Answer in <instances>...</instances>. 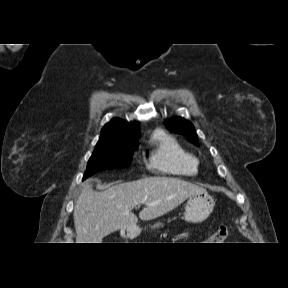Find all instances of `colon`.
Here are the masks:
<instances>
[{"label": "colon", "mask_w": 288, "mask_h": 288, "mask_svg": "<svg viewBox=\"0 0 288 288\" xmlns=\"http://www.w3.org/2000/svg\"><path fill=\"white\" fill-rule=\"evenodd\" d=\"M228 236V228L226 225H219L216 231L209 238V242L211 243H222Z\"/></svg>", "instance_id": "colon-1"}]
</instances>
